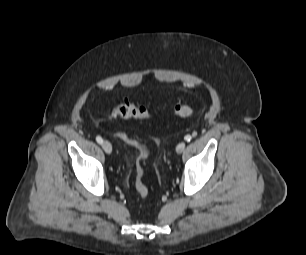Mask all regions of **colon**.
<instances>
[{
    "instance_id": "1",
    "label": "colon",
    "mask_w": 306,
    "mask_h": 255,
    "mask_svg": "<svg viewBox=\"0 0 306 255\" xmlns=\"http://www.w3.org/2000/svg\"><path fill=\"white\" fill-rule=\"evenodd\" d=\"M171 112L179 117H190L193 115V109L190 105L186 103H177L175 104ZM112 114L121 118H134V119H150L155 116L156 111L154 109L137 106L128 100H124L118 104H116L112 108ZM115 135L126 143L129 146L134 147L137 150V154L135 155V189L138 195L144 200L149 195V190L146 184L143 181L144 178V168L143 162L147 159L149 155V150L145 144L142 142L130 137L127 133L123 131H116Z\"/></svg>"
}]
</instances>
